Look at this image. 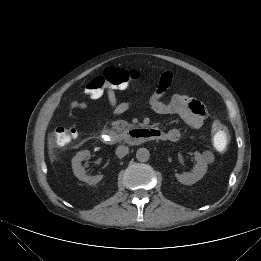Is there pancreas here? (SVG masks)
<instances>
[{
	"label": "pancreas",
	"instance_id": "1",
	"mask_svg": "<svg viewBox=\"0 0 261 261\" xmlns=\"http://www.w3.org/2000/svg\"><path fill=\"white\" fill-rule=\"evenodd\" d=\"M111 125L113 126V129L116 132L120 133V135L125 134L132 126L131 124H129L124 120L114 121L111 123Z\"/></svg>",
	"mask_w": 261,
	"mask_h": 261
}]
</instances>
